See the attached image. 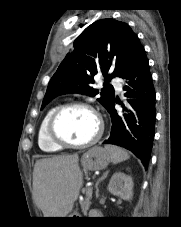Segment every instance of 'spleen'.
I'll return each mask as SVG.
<instances>
[{
	"label": "spleen",
	"instance_id": "1",
	"mask_svg": "<svg viewBox=\"0 0 181 227\" xmlns=\"http://www.w3.org/2000/svg\"><path fill=\"white\" fill-rule=\"evenodd\" d=\"M105 149L110 154L111 161H112L113 164L120 163V162L125 161L129 158L128 152L121 147L109 144V145L105 146Z\"/></svg>",
	"mask_w": 181,
	"mask_h": 227
}]
</instances>
